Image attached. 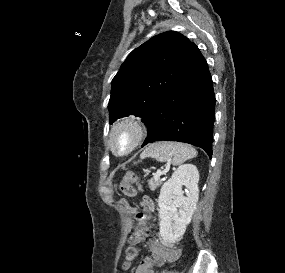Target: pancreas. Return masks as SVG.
<instances>
[{"instance_id": "obj_1", "label": "pancreas", "mask_w": 285, "mask_h": 273, "mask_svg": "<svg viewBox=\"0 0 285 273\" xmlns=\"http://www.w3.org/2000/svg\"><path fill=\"white\" fill-rule=\"evenodd\" d=\"M161 184H162V180H160V179H150L148 181V186L152 191H154Z\"/></svg>"}]
</instances>
